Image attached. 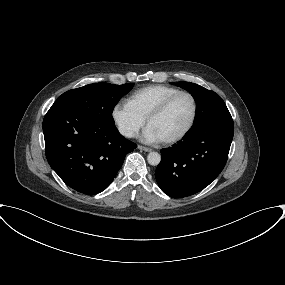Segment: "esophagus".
<instances>
[{
	"label": "esophagus",
	"mask_w": 285,
	"mask_h": 285,
	"mask_svg": "<svg viewBox=\"0 0 285 285\" xmlns=\"http://www.w3.org/2000/svg\"><path fill=\"white\" fill-rule=\"evenodd\" d=\"M138 149L145 151V152H151L152 151V149H150L148 147L141 146V145H138Z\"/></svg>",
	"instance_id": "34e87169"
}]
</instances>
